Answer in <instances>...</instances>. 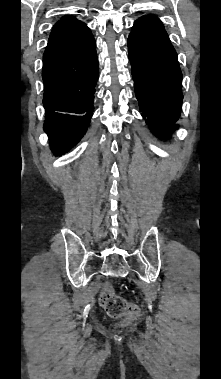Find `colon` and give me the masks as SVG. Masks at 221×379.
Returning a JSON list of instances; mask_svg holds the SVG:
<instances>
[{
	"label": "colon",
	"instance_id": "obj_1",
	"mask_svg": "<svg viewBox=\"0 0 221 379\" xmlns=\"http://www.w3.org/2000/svg\"><path fill=\"white\" fill-rule=\"evenodd\" d=\"M99 301L107 314L114 318L125 316L128 320H135L140 314L139 308L117 295L109 282L103 285Z\"/></svg>",
	"mask_w": 221,
	"mask_h": 379
}]
</instances>
